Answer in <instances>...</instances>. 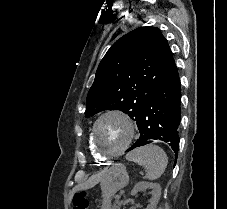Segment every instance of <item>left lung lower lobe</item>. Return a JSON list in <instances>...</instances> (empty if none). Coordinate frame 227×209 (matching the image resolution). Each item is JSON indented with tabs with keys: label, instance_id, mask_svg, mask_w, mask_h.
<instances>
[{
	"label": "left lung lower lobe",
	"instance_id": "obj_1",
	"mask_svg": "<svg viewBox=\"0 0 227 209\" xmlns=\"http://www.w3.org/2000/svg\"><path fill=\"white\" fill-rule=\"evenodd\" d=\"M180 99V79L176 68L164 86L145 104L136 122L140 138L127 152L150 143L164 142L177 155L178 128L181 121Z\"/></svg>",
	"mask_w": 227,
	"mask_h": 209
}]
</instances>
